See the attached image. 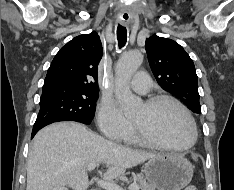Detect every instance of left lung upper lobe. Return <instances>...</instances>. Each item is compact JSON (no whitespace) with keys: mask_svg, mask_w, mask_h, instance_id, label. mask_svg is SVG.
<instances>
[{"mask_svg":"<svg viewBox=\"0 0 234 190\" xmlns=\"http://www.w3.org/2000/svg\"><path fill=\"white\" fill-rule=\"evenodd\" d=\"M151 70L163 89L177 96L193 113L200 114L198 77L192 59L178 43L156 35L146 39Z\"/></svg>","mask_w":234,"mask_h":190,"instance_id":"1","label":"left lung upper lobe"}]
</instances>
